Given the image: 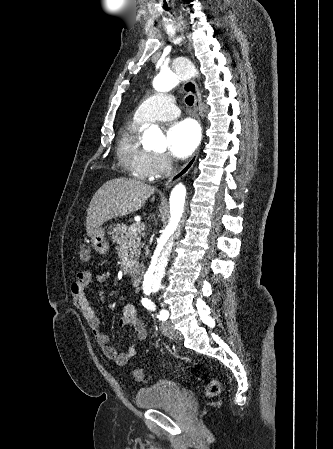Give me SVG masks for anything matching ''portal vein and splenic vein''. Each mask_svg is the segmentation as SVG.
<instances>
[{"mask_svg": "<svg viewBox=\"0 0 333 449\" xmlns=\"http://www.w3.org/2000/svg\"><path fill=\"white\" fill-rule=\"evenodd\" d=\"M131 230H132L133 232H137V231H140V230H144V224H133V225L131 226Z\"/></svg>", "mask_w": 333, "mask_h": 449, "instance_id": "18ae733b", "label": "portal vein and splenic vein"}]
</instances>
